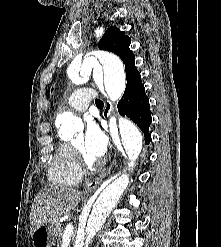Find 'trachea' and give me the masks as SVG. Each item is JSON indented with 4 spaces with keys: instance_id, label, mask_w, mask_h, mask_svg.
<instances>
[{
    "instance_id": "1",
    "label": "trachea",
    "mask_w": 221,
    "mask_h": 247,
    "mask_svg": "<svg viewBox=\"0 0 221 247\" xmlns=\"http://www.w3.org/2000/svg\"><path fill=\"white\" fill-rule=\"evenodd\" d=\"M95 104L98 108H102L104 106L103 101H101L100 99H95Z\"/></svg>"
}]
</instances>
